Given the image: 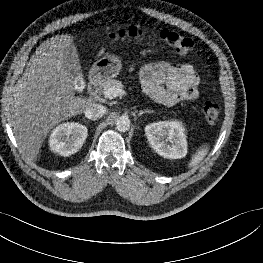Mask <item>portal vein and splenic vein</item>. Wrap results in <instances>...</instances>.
<instances>
[{
    "instance_id": "obj_1",
    "label": "portal vein and splenic vein",
    "mask_w": 263,
    "mask_h": 263,
    "mask_svg": "<svg viewBox=\"0 0 263 263\" xmlns=\"http://www.w3.org/2000/svg\"><path fill=\"white\" fill-rule=\"evenodd\" d=\"M126 92L120 88H109L104 92L105 98L113 99L119 95H124Z\"/></svg>"
}]
</instances>
